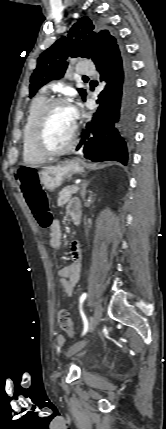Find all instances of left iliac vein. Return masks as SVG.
<instances>
[{"label":"left iliac vein","instance_id":"obj_1","mask_svg":"<svg viewBox=\"0 0 166 429\" xmlns=\"http://www.w3.org/2000/svg\"><path fill=\"white\" fill-rule=\"evenodd\" d=\"M102 312H103L102 304L100 302H97L95 305L94 315H93L91 322H90V332L91 333L94 332L95 328L99 324L101 316H102ZM87 341H88L87 339H84L82 341L75 343L74 345H72L69 348L67 354L72 355V354L76 353L77 351L81 350L86 345Z\"/></svg>","mask_w":166,"mask_h":429}]
</instances>
